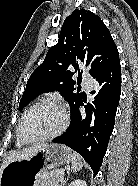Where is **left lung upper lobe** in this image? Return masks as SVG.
Listing matches in <instances>:
<instances>
[{"label": "left lung upper lobe", "mask_w": 138, "mask_h": 186, "mask_svg": "<svg viewBox=\"0 0 138 186\" xmlns=\"http://www.w3.org/2000/svg\"><path fill=\"white\" fill-rule=\"evenodd\" d=\"M118 59L117 47L100 17L85 9L74 10L63 23L58 43L30 76L19 110L39 94L54 90L60 91L71 108L82 97L72 79L79 65L85 64L95 77Z\"/></svg>", "instance_id": "obj_1"}]
</instances>
